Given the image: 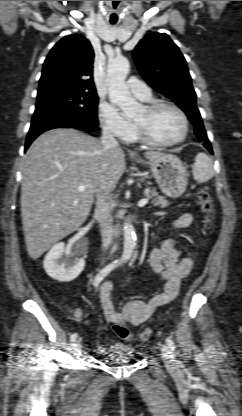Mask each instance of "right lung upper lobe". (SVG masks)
Here are the masks:
<instances>
[{
    "mask_svg": "<svg viewBox=\"0 0 242 416\" xmlns=\"http://www.w3.org/2000/svg\"><path fill=\"white\" fill-rule=\"evenodd\" d=\"M94 52L90 42L81 35L62 38L51 49L39 80L38 95L59 89L96 92L93 83Z\"/></svg>",
    "mask_w": 242,
    "mask_h": 416,
    "instance_id": "1",
    "label": "right lung upper lobe"
}]
</instances>
